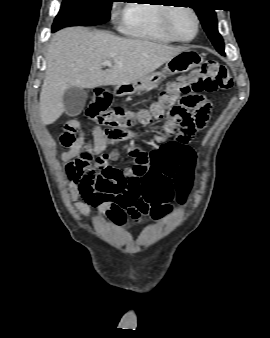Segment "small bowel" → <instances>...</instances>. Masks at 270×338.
<instances>
[{
  "label": "small bowel",
  "instance_id": "obj_1",
  "mask_svg": "<svg viewBox=\"0 0 270 338\" xmlns=\"http://www.w3.org/2000/svg\"><path fill=\"white\" fill-rule=\"evenodd\" d=\"M204 105L209 108V105L205 103ZM209 112L210 108L208 114ZM175 122L177 121L170 120V124ZM197 131L198 129H194L189 135V141ZM90 132L94 139L93 147L85 145L86 133L77 120L66 122L60 134V142L64 148L62 159L66 162L83 164L82 173L71 188V200L74 201L78 196L83 199L84 203L74 202V208L84 218H87L89 208H94L97 210V220L102 221L106 216L113 221L114 211L117 209L116 204L101 186L106 180L107 172L114 169L111 161L120 155L119 149L110 153L107 150L110 147L121 145L125 138L123 135L108 136L98 126H91ZM189 141L176 153L166 156L145 154L136 147H127L132 156L142 158L143 165L150 169L152 181L149 186V195L153 206L162 209L158 216H164L171 211L177 190H188L189 176L196 161L195 151L189 145Z\"/></svg>",
  "mask_w": 270,
  "mask_h": 338
}]
</instances>
